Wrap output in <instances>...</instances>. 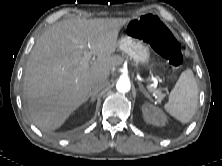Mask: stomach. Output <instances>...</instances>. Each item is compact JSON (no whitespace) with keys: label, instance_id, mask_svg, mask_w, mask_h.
<instances>
[{"label":"stomach","instance_id":"0dacf381","mask_svg":"<svg viewBox=\"0 0 222 166\" xmlns=\"http://www.w3.org/2000/svg\"><path fill=\"white\" fill-rule=\"evenodd\" d=\"M119 49L128 55L136 64L149 66L150 49L149 46L138 38H132L129 35L123 36L118 41Z\"/></svg>","mask_w":222,"mask_h":166}]
</instances>
